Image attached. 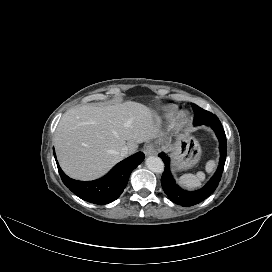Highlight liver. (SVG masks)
<instances>
[{
	"label": "liver",
	"instance_id": "obj_1",
	"mask_svg": "<svg viewBox=\"0 0 272 272\" xmlns=\"http://www.w3.org/2000/svg\"><path fill=\"white\" fill-rule=\"evenodd\" d=\"M159 136L153 111L144 104H88L63 114L54 146L63 171L86 181L102 177L121 161L122 147L133 153L138 144Z\"/></svg>",
	"mask_w": 272,
	"mask_h": 272
}]
</instances>
